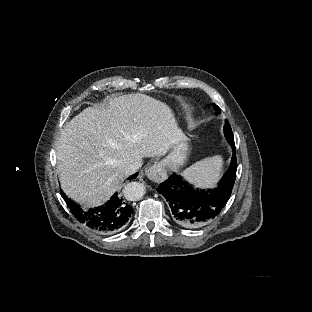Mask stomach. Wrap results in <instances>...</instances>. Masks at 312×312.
<instances>
[{
  "label": "stomach",
  "mask_w": 312,
  "mask_h": 312,
  "mask_svg": "<svg viewBox=\"0 0 312 312\" xmlns=\"http://www.w3.org/2000/svg\"><path fill=\"white\" fill-rule=\"evenodd\" d=\"M189 139H187L184 134L181 135L180 141L177 146L173 149V152L169 154L166 158L160 161V165L164 169L178 170L186 160V151L188 150Z\"/></svg>",
  "instance_id": "obj_1"
}]
</instances>
